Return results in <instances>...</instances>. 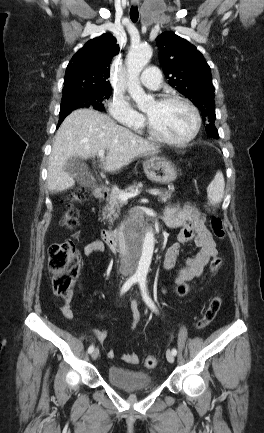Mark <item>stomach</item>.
Wrapping results in <instances>:
<instances>
[{"instance_id":"0dacf381","label":"stomach","mask_w":264,"mask_h":433,"mask_svg":"<svg viewBox=\"0 0 264 433\" xmlns=\"http://www.w3.org/2000/svg\"><path fill=\"white\" fill-rule=\"evenodd\" d=\"M143 170L149 180L160 184H169L177 178L174 164L161 157H146L143 161Z\"/></svg>"}]
</instances>
